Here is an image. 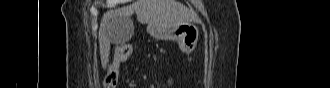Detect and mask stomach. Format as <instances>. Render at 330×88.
Listing matches in <instances>:
<instances>
[{"label": "stomach", "mask_w": 330, "mask_h": 88, "mask_svg": "<svg viewBox=\"0 0 330 88\" xmlns=\"http://www.w3.org/2000/svg\"><path fill=\"white\" fill-rule=\"evenodd\" d=\"M157 27V26H156ZM165 35L168 39L175 40L181 51L189 53L195 49L199 39V27L194 23H182L177 25H163ZM158 35V31L154 32Z\"/></svg>", "instance_id": "obj_1"}]
</instances>
